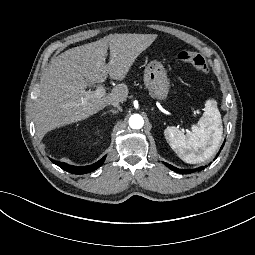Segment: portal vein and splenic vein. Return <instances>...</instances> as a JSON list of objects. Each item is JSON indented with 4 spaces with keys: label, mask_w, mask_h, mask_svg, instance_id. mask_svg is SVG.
I'll use <instances>...</instances> for the list:
<instances>
[{
    "label": "portal vein and splenic vein",
    "mask_w": 255,
    "mask_h": 255,
    "mask_svg": "<svg viewBox=\"0 0 255 255\" xmlns=\"http://www.w3.org/2000/svg\"><path fill=\"white\" fill-rule=\"evenodd\" d=\"M113 60V59H112ZM83 94L86 99L101 98L105 94V86H98L95 91H87V87H83Z\"/></svg>",
    "instance_id": "1"
}]
</instances>
